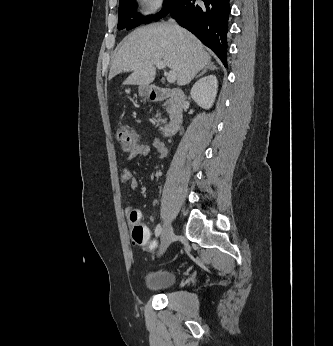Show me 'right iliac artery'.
<instances>
[{
    "mask_svg": "<svg viewBox=\"0 0 333 346\" xmlns=\"http://www.w3.org/2000/svg\"><path fill=\"white\" fill-rule=\"evenodd\" d=\"M161 231H162V227L160 224H158L155 229V236L158 237L161 234Z\"/></svg>",
    "mask_w": 333,
    "mask_h": 346,
    "instance_id": "right-iliac-artery-1",
    "label": "right iliac artery"
}]
</instances>
